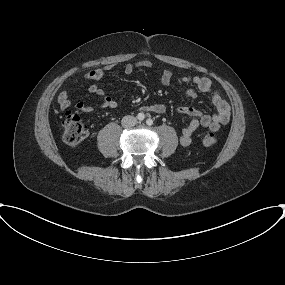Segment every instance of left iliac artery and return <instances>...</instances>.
<instances>
[{
  "instance_id": "obj_1",
  "label": "left iliac artery",
  "mask_w": 285,
  "mask_h": 285,
  "mask_svg": "<svg viewBox=\"0 0 285 285\" xmlns=\"http://www.w3.org/2000/svg\"><path fill=\"white\" fill-rule=\"evenodd\" d=\"M146 123H147V125H149V126H150V125H152V124H153V120H152V119H147V120H146Z\"/></svg>"
}]
</instances>
